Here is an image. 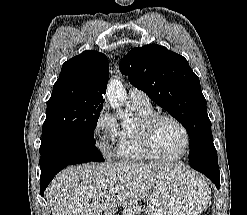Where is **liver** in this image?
I'll return each mask as SVG.
<instances>
[{
    "mask_svg": "<svg viewBox=\"0 0 247 215\" xmlns=\"http://www.w3.org/2000/svg\"><path fill=\"white\" fill-rule=\"evenodd\" d=\"M168 163L84 164L61 171L45 191L53 215H114L138 203L180 171ZM115 190V194L109 191Z\"/></svg>",
    "mask_w": 247,
    "mask_h": 215,
    "instance_id": "liver-1",
    "label": "liver"
}]
</instances>
